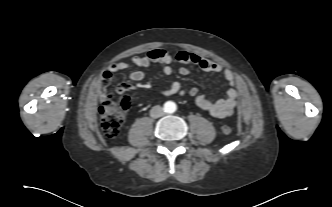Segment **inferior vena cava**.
Listing matches in <instances>:
<instances>
[{"label": "inferior vena cava", "mask_w": 332, "mask_h": 207, "mask_svg": "<svg viewBox=\"0 0 332 207\" xmlns=\"http://www.w3.org/2000/svg\"><path fill=\"white\" fill-rule=\"evenodd\" d=\"M163 114H164L163 108L159 105L152 107V109L150 110V116L152 118H159L163 116Z\"/></svg>", "instance_id": "inferior-vena-cava-1"}]
</instances>
